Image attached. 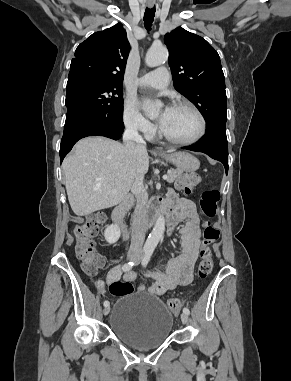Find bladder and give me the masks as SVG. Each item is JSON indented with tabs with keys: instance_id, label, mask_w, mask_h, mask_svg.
I'll list each match as a JSON object with an SVG mask.
<instances>
[{
	"instance_id": "31cf9c89",
	"label": "bladder",
	"mask_w": 291,
	"mask_h": 381,
	"mask_svg": "<svg viewBox=\"0 0 291 381\" xmlns=\"http://www.w3.org/2000/svg\"><path fill=\"white\" fill-rule=\"evenodd\" d=\"M110 330L120 340L136 349H153L168 339L173 316L162 300L145 292L123 295L109 317Z\"/></svg>"
}]
</instances>
